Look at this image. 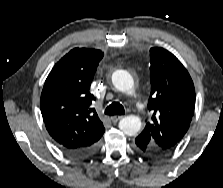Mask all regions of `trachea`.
I'll use <instances>...</instances> for the list:
<instances>
[{
    "label": "trachea",
    "mask_w": 223,
    "mask_h": 188,
    "mask_svg": "<svg viewBox=\"0 0 223 188\" xmlns=\"http://www.w3.org/2000/svg\"><path fill=\"white\" fill-rule=\"evenodd\" d=\"M105 114L110 115V116L124 115L125 110H124V107L122 106V104H120L119 102H113L112 104L107 106V108L105 109Z\"/></svg>",
    "instance_id": "3493384b"
}]
</instances>
